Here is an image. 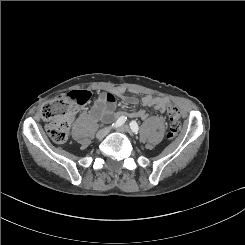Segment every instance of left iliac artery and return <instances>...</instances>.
I'll return each instance as SVG.
<instances>
[{"label":"left iliac artery","mask_w":245,"mask_h":245,"mask_svg":"<svg viewBox=\"0 0 245 245\" xmlns=\"http://www.w3.org/2000/svg\"><path fill=\"white\" fill-rule=\"evenodd\" d=\"M130 128H131L132 132H134L135 134H138L139 126H138L136 121L130 122Z\"/></svg>","instance_id":"44dca946"}]
</instances>
